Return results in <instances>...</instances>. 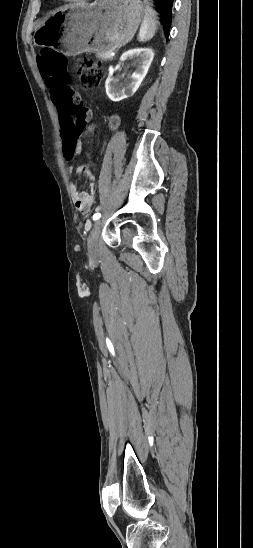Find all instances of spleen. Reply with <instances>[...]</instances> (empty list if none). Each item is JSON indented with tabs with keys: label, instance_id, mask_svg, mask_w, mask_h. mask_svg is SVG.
Listing matches in <instances>:
<instances>
[{
	"label": "spleen",
	"instance_id": "spleen-1",
	"mask_svg": "<svg viewBox=\"0 0 253 548\" xmlns=\"http://www.w3.org/2000/svg\"><path fill=\"white\" fill-rule=\"evenodd\" d=\"M157 13L149 5H146L144 10V18L140 27L138 40L139 41H148L156 33L157 30Z\"/></svg>",
	"mask_w": 253,
	"mask_h": 548
}]
</instances>
